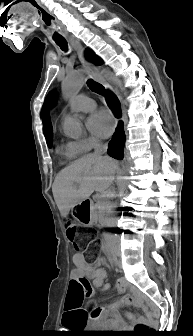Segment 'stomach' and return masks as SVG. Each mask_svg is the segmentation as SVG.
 I'll list each match as a JSON object with an SVG mask.
<instances>
[{
	"mask_svg": "<svg viewBox=\"0 0 193 336\" xmlns=\"http://www.w3.org/2000/svg\"><path fill=\"white\" fill-rule=\"evenodd\" d=\"M73 217L84 226H90L94 223V213L89 201H81L72 207Z\"/></svg>",
	"mask_w": 193,
	"mask_h": 336,
	"instance_id": "1",
	"label": "stomach"
}]
</instances>
